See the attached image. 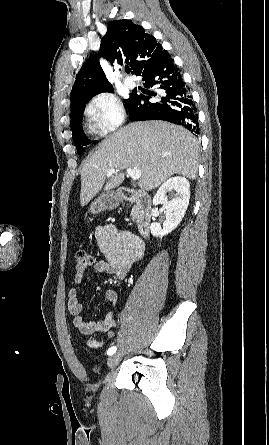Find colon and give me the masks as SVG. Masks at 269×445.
Listing matches in <instances>:
<instances>
[{"label": "colon", "mask_w": 269, "mask_h": 445, "mask_svg": "<svg viewBox=\"0 0 269 445\" xmlns=\"http://www.w3.org/2000/svg\"><path fill=\"white\" fill-rule=\"evenodd\" d=\"M75 270L77 272H84L93 264V257L85 250L78 249L74 254Z\"/></svg>", "instance_id": "5ec220e1"}]
</instances>
